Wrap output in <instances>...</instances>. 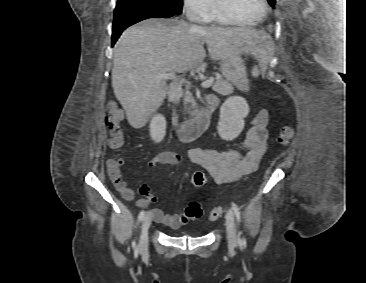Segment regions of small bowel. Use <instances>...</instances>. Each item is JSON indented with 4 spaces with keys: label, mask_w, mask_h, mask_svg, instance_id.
<instances>
[{
    "label": "small bowel",
    "mask_w": 366,
    "mask_h": 283,
    "mask_svg": "<svg viewBox=\"0 0 366 283\" xmlns=\"http://www.w3.org/2000/svg\"><path fill=\"white\" fill-rule=\"evenodd\" d=\"M211 98L217 105L218 100L215 97ZM267 124L268 112L261 109L255 115L252 125L247 131L246 139L239 148L227 151L193 148L188 152L187 158L191 163L206 170L217 184L231 183L257 169L267 150ZM191 140V138L184 139L186 142ZM180 162L179 154L163 151L148 162V167L152 169L157 164L176 165ZM123 164L122 158H110L107 160V170L110 180L121 196L127 201H132L134 191L122 178ZM139 191L143 198L136 202L138 207H147L150 203L157 201V198L150 193L147 184L141 185ZM150 214L156 222L173 229H178L186 222L181 215L166 214L158 208L151 209Z\"/></svg>",
    "instance_id": "1"
}]
</instances>
